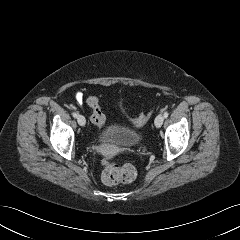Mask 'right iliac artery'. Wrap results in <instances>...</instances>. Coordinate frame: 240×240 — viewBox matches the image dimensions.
Instances as JSON below:
<instances>
[{"mask_svg": "<svg viewBox=\"0 0 240 240\" xmlns=\"http://www.w3.org/2000/svg\"><path fill=\"white\" fill-rule=\"evenodd\" d=\"M72 115H73L74 118L78 117V113L77 112H73Z\"/></svg>", "mask_w": 240, "mask_h": 240, "instance_id": "82829eb1", "label": "right iliac artery"}]
</instances>
